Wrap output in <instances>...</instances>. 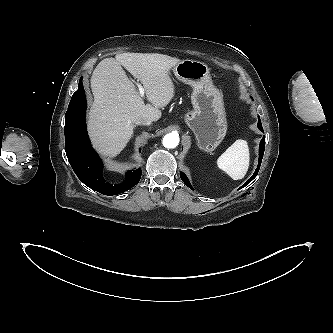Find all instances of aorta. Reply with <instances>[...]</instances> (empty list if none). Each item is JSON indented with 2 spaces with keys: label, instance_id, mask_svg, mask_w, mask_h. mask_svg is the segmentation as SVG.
I'll return each mask as SVG.
<instances>
[{
  "label": "aorta",
  "instance_id": "aorta-1",
  "mask_svg": "<svg viewBox=\"0 0 333 333\" xmlns=\"http://www.w3.org/2000/svg\"><path fill=\"white\" fill-rule=\"evenodd\" d=\"M179 144V135L177 133H169L163 138V146L166 148H175Z\"/></svg>",
  "mask_w": 333,
  "mask_h": 333
}]
</instances>
